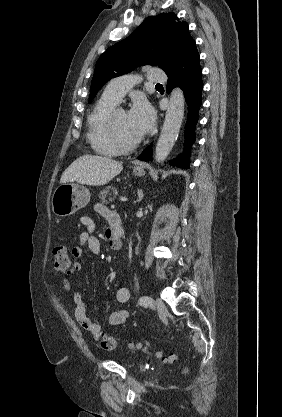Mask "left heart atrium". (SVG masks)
Listing matches in <instances>:
<instances>
[{"label": "left heart atrium", "mask_w": 282, "mask_h": 417, "mask_svg": "<svg viewBox=\"0 0 282 417\" xmlns=\"http://www.w3.org/2000/svg\"><path fill=\"white\" fill-rule=\"evenodd\" d=\"M133 128L141 135L149 131L154 122V113L146 102H138L129 113Z\"/></svg>", "instance_id": "39dd6f15"}]
</instances>
